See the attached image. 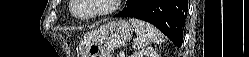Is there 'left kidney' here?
Segmentation results:
<instances>
[{"label": "left kidney", "instance_id": "obj_1", "mask_svg": "<svg viewBox=\"0 0 249 57\" xmlns=\"http://www.w3.org/2000/svg\"><path fill=\"white\" fill-rule=\"evenodd\" d=\"M131 57H160V55H158L155 49L148 47L146 49L134 52Z\"/></svg>", "mask_w": 249, "mask_h": 57}]
</instances>
